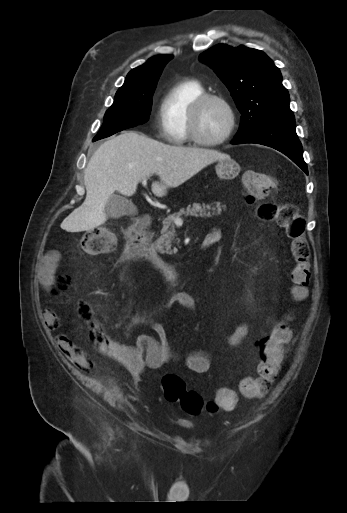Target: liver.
<instances>
[{"mask_svg":"<svg viewBox=\"0 0 347 513\" xmlns=\"http://www.w3.org/2000/svg\"><path fill=\"white\" fill-rule=\"evenodd\" d=\"M228 154L199 147L171 146L142 133L125 131L104 142L91 157L85 172L86 199L61 223L67 232L92 230L107 220L105 205L115 191L132 196L138 183L157 174L163 184L153 183L152 192L165 196Z\"/></svg>","mask_w":347,"mask_h":513,"instance_id":"liver-1","label":"liver"}]
</instances>
